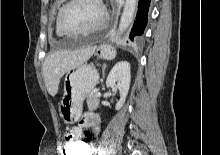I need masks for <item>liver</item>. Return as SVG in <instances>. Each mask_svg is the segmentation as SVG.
Listing matches in <instances>:
<instances>
[{
  "mask_svg": "<svg viewBox=\"0 0 220 155\" xmlns=\"http://www.w3.org/2000/svg\"><path fill=\"white\" fill-rule=\"evenodd\" d=\"M94 51L95 47H88L79 50H59L49 54L43 64V76L49 94L54 97L64 74L84 64Z\"/></svg>",
  "mask_w": 220,
  "mask_h": 155,
  "instance_id": "6515ba94",
  "label": "liver"
}]
</instances>
